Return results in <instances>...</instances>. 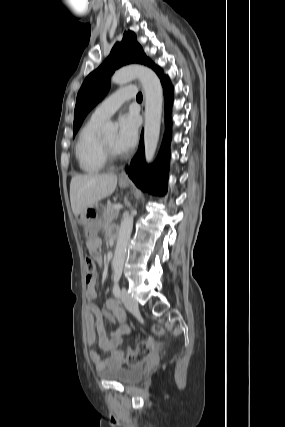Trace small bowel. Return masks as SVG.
<instances>
[{
    "label": "small bowel",
    "instance_id": "small-bowel-1",
    "mask_svg": "<svg viewBox=\"0 0 285 427\" xmlns=\"http://www.w3.org/2000/svg\"><path fill=\"white\" fill-rule=\"evenodd\" d=\"M101 244L99 238H93L88 242L90 255L98 262H102V257L98 252ZM86 297L89 300L96 298V283L92 280L87 284ZM108 311L102 310L96 303L87 305L86 334L90 345L96 344L99 350H92L90 358L97 370L117 367L123 364V353L117 349L125 336L131 334L132 329L125 323V312L116 300L108 299L105 302ZM104 320L117 322L118 327L108 333L104 327ZM101 351L107 352L108 356L103 358Z\"/></svg>",
    "mask_w": 285,
    "mask_h": 427
}]
</instances>
